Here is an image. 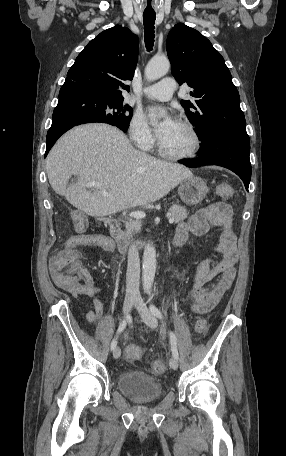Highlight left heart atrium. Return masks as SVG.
Returning a JSON list of instances; mask_svg holds the SVG:
<instances>
[{"label":"left heart atrium","instance_id":"left-heart-atrium-1","mask_svg":"<svg viewBox=\"0 0 286 456\" xmlns=\"http://www.w3.org/2000/svg\"><path fill=\"white\" fill-rule=\"evenodd\" d=\"M158 111H159L158 109H151V110L149 111V116H150L151 118L155 117L156 114L158 113ZM176 124H177L176 121H175L172 117H170V116L166 117V118L159 124V126H158V128H157V135H158V138H159V139L164 138V137H165V136L174 128V126H175Z\"/></svg>","mask_w":286,"mask_h":456}]
</instances>
